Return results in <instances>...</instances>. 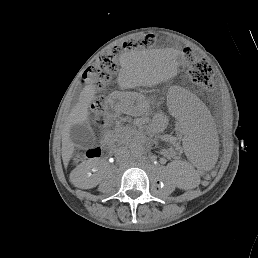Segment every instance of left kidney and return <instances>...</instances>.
Listing matches in <instances>:
<instances>
[{"instance_id": "obj_1", "label": "left kidney", "mask_w": 258, "mask_h": 258, "mask_svg": "<svg viewBox=\"0 0 258 258\" xmlns=\"http://www.w3.org/2000/svg\"><path fill=\"white\" fill-rule=\"evenodd\" d=\"M177 186L184 190L194 188V173H191L190 170L187 172L184 171L183 174L181 173V177L177 182Z\"/></svg>"}]
</instances>
